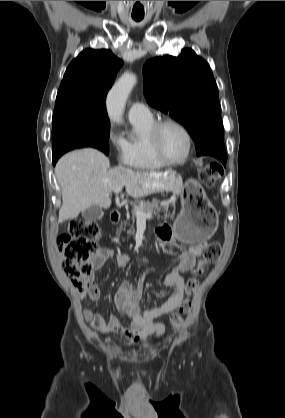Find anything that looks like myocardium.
I'll return each instance as SVG.
<instances>
[{
  "label": "myocardium",
  "instance_id": "obj_1",
  "mask_svg": "<svg viewBox=\"0 0 285 418\" xmlns=\"http://www.w3.org/2000/svg\"><path fill=\"white\" fill-rule=\"evenodd\" d=\"M168 125H174L178 127L184 133L187 140L186 152L184 156L178 160H171L168 157H166L160 145V133L162 129ZM148 143L151 147L154 156L166 165H180L185 163L189 159L193 148V139L188 128L181 122L172 118L160 120L153 125L148 135Z\"/></svg>",
  "mask_w": 285,
  "mask_h": 418
}]
</instances>
